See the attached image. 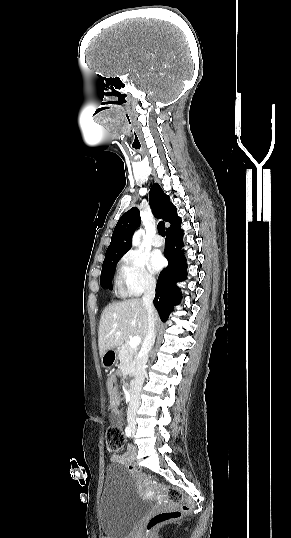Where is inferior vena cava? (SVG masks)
<instances>
[{
    "label": "inferior vena cava",
    "instance_id": "1",
    "mask_svg": "<svg viewBox=\"0 0 291 538\" xmlns=\"http://www.w3.org/2000/svg\"><path fill=\"white\" fill-rule=\"evenodd\" d=\"M155 286L156 282L155 280H147L145 283V292L143 295V304L146 307L147 313H148V331L146 334V337L143 341L142 348H141V359L140 363L137 369L136 378H135V384L134 389L131 396V401L128 406L127 411V421L130 424L135 423V417L137 410L140 405V393L144 382V377L146 374V363L148 361V354L149 351L152 349V346L154 345L155 338H156V331H155V309L153 306V299L155 296Z\"/></svg>",
    "mask_w": 291,
    "mask_h": 538
}]
</instances>
